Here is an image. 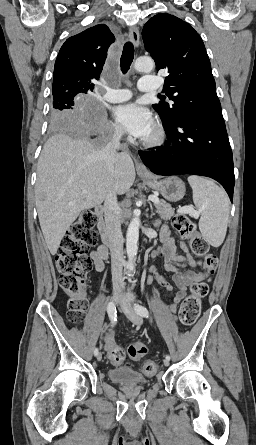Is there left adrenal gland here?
<instances>
[{
  "mask_svg": "<svg viewBox=\"0 0 256 445\" xmlns=\"http://www.w3.org/2000/svg\"><path fill=\"white\" fill-rule=\"evenodd\" d=\"M153 215H154V212L152 211V213H151V218H152Z\"/></svg>",
  "mask_w": 256,
  "mask_h": 445,
  "instance_id": "left-adrenal-gland-1",
  "label": "left adrenal gland"
}]
</instances>
